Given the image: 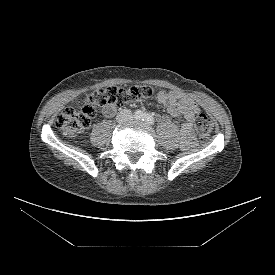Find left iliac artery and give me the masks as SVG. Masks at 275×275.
<instances>
[{
    "label": "left iliac artery",
    "instance_id": "44dca946",
    "mask_svg": "<svg viewBox=\"0 0 275 275\" xmlns=\"http://www.w3.org/2000/svg\"><path fill=\"white\" fill-rule=\"evenodd\" d=\"M143 121L147 122L148 124H154L155 120L153 118V116H151L150 114L148 113H144L143 115Z\"/></svg>",
    "mask_w": 275,
    "mask_h": 275
}]
</instances>
